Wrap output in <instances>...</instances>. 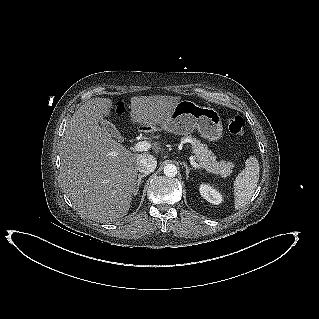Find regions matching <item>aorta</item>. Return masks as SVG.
I'll list each match as a JSON object with an SVG mask.
<instances>
[{
	"instance_id": "1",
	"label": "aorta",
	"mask_w": 319,
	"mask_h": 319,
	"mask_svg": "<svg viewBox=\"0 0 319 319\" xmlns=\"http://www.w3.org/2000/svg\"><path fill=\"white\" fill-rule=\"evenodd\" d=\"M164 174L167 177H175L177 175V167L174 164H167L164 166Z\"/></svg>"
}]
</instances>
